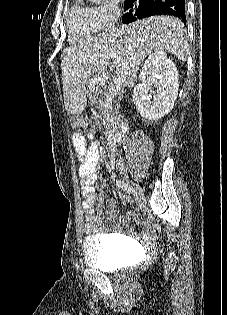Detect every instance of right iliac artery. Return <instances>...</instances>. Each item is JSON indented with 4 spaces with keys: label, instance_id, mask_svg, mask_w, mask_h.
<instances>
[{
    "label": "right iliac artery",
    "instance_id": "right-iliac-artery-1",
    "mask_svg": "<svg viewBox=\"0 0 227 315\" xmlns=\"http://www.w3.org/2000/svg\"><path fill=\"white\" fill-rule=\"evenodd\" d=\"M116 185L118 188H121L123 191L132 194L133 193V187L130 186L129 184L125 183L122 180H117Z\"/></svg>",
    "mask_w": 227,
    "mask_h": 315
}]
</instances>
